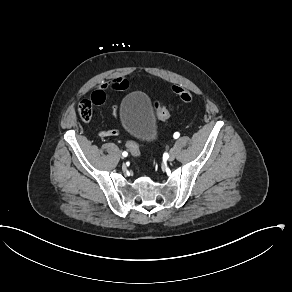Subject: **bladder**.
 <instances>
[{
  "mask_svg": "<svg viewBox=\"0 0 292 292\" xmlns=\"http://www.w3.org/2000/svg\"><path fill=\"white\" fill-rule=\"evenodd\" d=\"M120 122L135 139L152 141L157 135L153 110L148 97L140 91L129 94L122 102Z\"/></svg>",
  "mask_w": 292,
  "mask_h": 292,
  "instance_id": "obj_1",
  "label": "bladder"
}]
</instances>
